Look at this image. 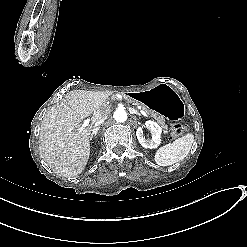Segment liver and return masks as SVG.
I'll list each match as a JSON object with an SVG mask.
<instances>
[{
    "instance_id": "6515ba94",
    "label": "liver",
    "mask_w": 247,
    "mask_h": 247,
    "mask_svg": "<svg viewBox=\"0 0 247 247\" xmlns=\"http://www.w3.org/2000/svg\"><path fill=\"white\" fill-rule=\"evenodd\" d=\"M107 97L101 91L73 90L65 101L46 112L40 127L39 150L55 174L69 178L82 173L90 156L91 128L104 117ZM92 114L91 123L79 132L78 125Z\"/></svg>"
}]
</instances>
